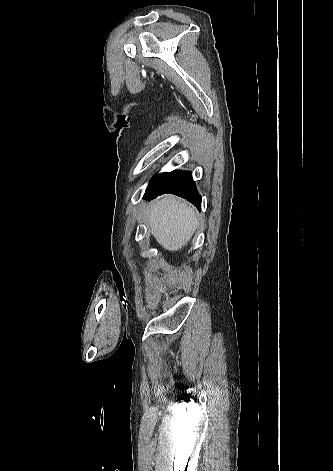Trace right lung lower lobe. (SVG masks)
I'll use <instances>...</instances> for the list:
<instances>
[{"mask_svg": "<svg viewBox=\"0 0 333 471\" xmlns=\"http://www.w3.org/2000/svg\"><path fill=\"white\" fill-rule=\"evenodd\" d=\"M164 193L176 194L194 204L201 210V196L190 172L172 171L154 176L150 181L144 198L150 200Z\"/></svg>", "mask_w": 333, "mask_h": 471, "instance_id": "right-lung-lower-lobe-1", "label": "right lung lower lobe"}]
</instances>
